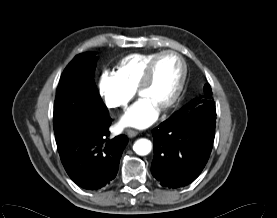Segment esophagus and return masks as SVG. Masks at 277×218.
<instances>
[{"mask_svg": "<svg viewBox=\"0 0 277 218\" xmlns=\"http://www.w3.org/2000/svg\"><path fill=\"white\" fill-rule=\"evenodd\" d=\"M126 134L128 135V137L133 138L137 136L138 132L132 129H127Z\"/></svg>", "mask_w": 277, "mask_h": 218, "instance_id": "obj_1", "label": "esophagus"}]
</instances>
